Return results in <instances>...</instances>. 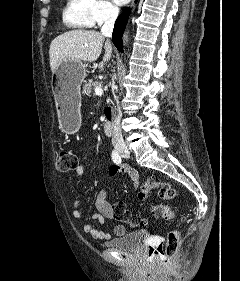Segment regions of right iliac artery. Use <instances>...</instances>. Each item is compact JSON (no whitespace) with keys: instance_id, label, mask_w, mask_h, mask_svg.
<instances>
[{"instance_id":"obj_1","label":"right iliac artery","mask_w":240,"mask_h":281,"mask_svg":"<svg viewBox=\"0 0 240 281\" xmlns=\"http://www.w3.org/2000/svg\"><path fill=\"white\" fill-rule=\"evenodd\" d=\"M112 160L116 164H120L122 162L121 156L117 151L112 152Z\"/></svg>"}]
</instances>
